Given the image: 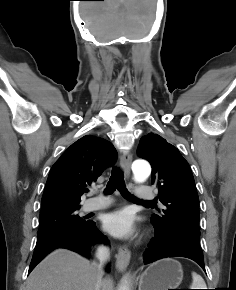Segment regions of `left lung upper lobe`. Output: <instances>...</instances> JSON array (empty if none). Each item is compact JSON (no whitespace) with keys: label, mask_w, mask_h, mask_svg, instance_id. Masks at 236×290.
Masks as SVG:
<instances>
[{"label":"left lung upper lobe","mask_w":236,"mask_h":290,"mask_svg":"<svg viewBox=\"0 0 236 290\" xmlns=\"http://www.w3.org/2000/svg\"><path fill=\"white\" fill-rule=\"evenodd\" d=\"M137 152L150 162L151 182L158 187L159 200L167 208L161 216L153 214L151 223L200 240L199 197L187 161L176 147L153 133L141 138Z\"/></svg>","instance_id":"left-lung-upper-lobe-1"}]
</instances>
